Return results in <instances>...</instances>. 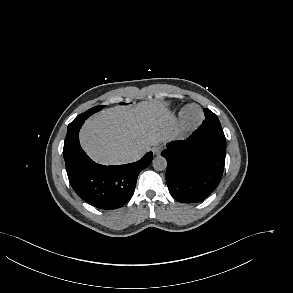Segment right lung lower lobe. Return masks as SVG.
Returning a JSON list of instances; mask_svg holds the SVG:
<instances>
[{
  "label": "right lung lower lobe",
  "mask_w": 293,
  "mask_h": 293,
  "mask_svg": "<svg viewBox=\"0 0 293 293\" xmlns=\"http://www.w3.org/2000/svg\"><path fill=\"white\" fill-rule=\"evenodd\" d=\"M89 114H81L69 125L63 155L69 182L85 202L100 209H117L132 197L139 173L152 161L147 153L137 162L103 166L92 161L80 146L78 133Z\"/></svg>",
  "instance_id": "obj_1"
}]
</instances>
